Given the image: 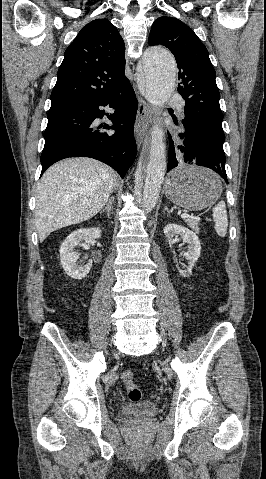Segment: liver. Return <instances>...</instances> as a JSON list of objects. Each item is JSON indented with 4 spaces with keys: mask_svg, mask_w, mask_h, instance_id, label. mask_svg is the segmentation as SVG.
Wrapping results in <instances>:
<instances>
[{
    "mask_svg": "<svg viewBox=\"0 0 266 479\" xmlns=\"http://www.w3.org/2000/svg\"><path fill=\"white\" fill-rule=\"evenodd\" d=\"M117 174L87 157L51 166L36 189L35 225L40 242L52 232L94 217L106 204Z\"/></svg>",
    "mask_w": 266,
    "mask_h": 479,
    "instance_id": "obj_1",
    "label": "liver"
}]
</instances>
